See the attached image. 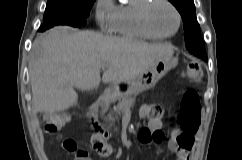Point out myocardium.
I'll use <instances>...</instances> for the list:
<instances>
[{
  "mask_svg": "<svg viewBox=\"0 0 242 160\" xmlns=\"http://www.w3.org/2000/svg\"><path fill=\"white\" fill-rule=\"evenodd\" d=\"M156 3H164L168 5L175 13L177 17V27L174 32L170 34H163L157 32L151 25L149 20V13L151 8ZM138 22L141 28L150 36L158 38V39H167L175 36L181 28L182 24V16L178 8L170 1V0H145V2L138 9Z\"/></svg>",
  "mask_w": 242,
  "mask_h": 160,
  "instance_id": "obj_1",
  "label": "myocardium"
}]
</instances>
